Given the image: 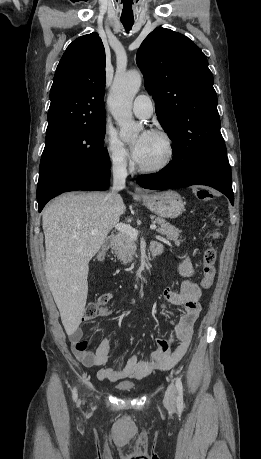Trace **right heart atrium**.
I'll return each mask as SVG.
<instances>
[{"label": "right heart atrium", "instance_id": "right-heart-atrium-1", "mask_svg": "<svg viewBox=\"0 0 261 459\" xmlns=\"http://www.w3.org/2000/svg\"><path fill=\"white\" fill-rule=\"evenodd\" d=\"M102 141L112 168L117 172L127 171L131 165L130 155L116 133L106 128Z\"/></svg>", "mask_w": 261, "mask_h": 459}]
</instances>
